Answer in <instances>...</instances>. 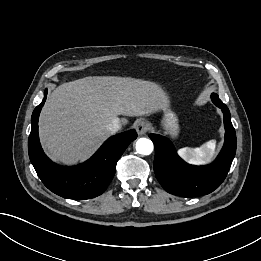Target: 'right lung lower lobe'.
Returning <instances> with one entry per match:
<instances>
[{
	"label": "right lung lower lobe",
	"instance_id": "obj_1",
	"mask_svg": "<svg viewBox=\"0 0 261 261\" xmlns=\"http://www.w3.org/2000/svg\"><path fill=\"white\" fill-rule=\"evenodd\" d=\"M46 96L47 90L44 99L33 111L28 140L29 158L37 175L50 191L64 198L84 200L101 195L115 174L120 156L136 139V131L130 130L112 136L82 164L74 167L59 166L47 158L39 142L38 118Z\"/></svg>",
	"mask_w": 261,
	"mask_h": 261
}]
</instances>
